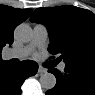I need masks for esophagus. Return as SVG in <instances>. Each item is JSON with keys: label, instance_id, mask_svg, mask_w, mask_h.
I'll use <instances>...</instances> for the list:
<instances>
[{"label": "esophagus", "instance_id": "34e87169", "mask_svg": "<svg viewBox=\"0 0 95 95\" xmlns=\"http://www.w3.org/2000/svg\"><path fill=\"white\" fill-rule=\"evenodd\" d=\"M47 72V69H45L44 67H42V66H39V68H38V73L39 74H44V73H46Z\"/></svg>", "mask_w": 95, "mask_h": 95}]
</instances>
